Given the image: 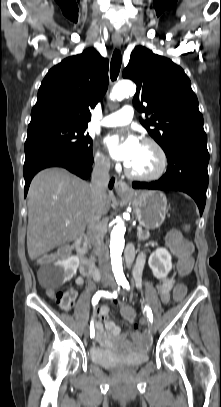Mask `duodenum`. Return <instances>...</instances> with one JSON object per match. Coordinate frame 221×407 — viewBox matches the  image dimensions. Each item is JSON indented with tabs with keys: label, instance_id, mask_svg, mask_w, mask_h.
Instances as JSON below:
<instances>
[{
	"label": "duodenum",
	"instance_id": "410a0bca",
	"mask_svg": "<svg viewBox=\"0 0 221 407\" xmlns=\"http://www.w3.org/2000/svg\"><path fill=\"white\" fill-rule=\"evenodd\" d=\"M76 250L79 257V268L83 275L92 276L95 280L100 278V273L96 268L93 261L87 257V237L85 235H80L75 242ZM126 259L130 263L133 259V251L129 249L126 254Z\"/></svg>",
	"mask_w": 221,
	"mask_h": 407
}]
</instances>
